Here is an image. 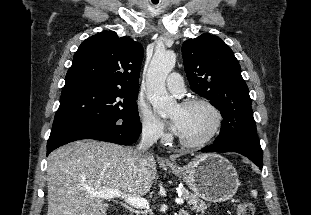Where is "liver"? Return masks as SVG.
<instances>
[{
	"label": "liver",
	"mask_w": 311,
	"mask_h": 215,
	"mask_svg": "<svg viewBox=\"0 0 311 215\" xmlns=\"http://www.w3.org/2000/svg\"><path fill=\"white\" fill-rule=\"evenodd\" d=\"M47 160V215H106L109 204L92 192L117 189L142 197L157 173L151 154L137 157L131 148L91 140L58 148Z\"/></svg>",
	"instance_id": "obj_1"
}]
</instances>
